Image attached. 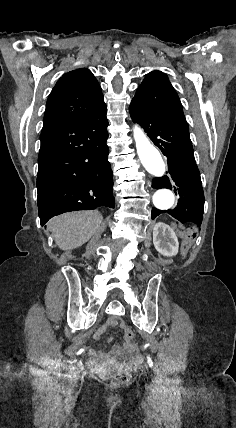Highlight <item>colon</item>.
I'll use <instances>...</instances> for the list:
<instances>
[{
    "instance_id": "obj_1",
    "label": "colon",
    "mask_w": 236,
    "mask_h": 428,
    "mask_svg": "<svg viewBox=\"0 0 236 428\" xmlns=\"http://www.w3.org/2000/svg\"><path fill=\"white\" fill-rule=\"evenodd\" d=\"M125 338L128 342H132L134 333L130 329H126ZM130 377V373L126 369H118L112 374L111 380L116 385H122L129 382Z\"/></svg>"
}]
</instances>
